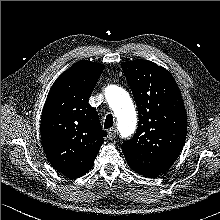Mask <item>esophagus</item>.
<instances>
[{"label": "esophagus", "instance_id": "34e87169", "mask_svg": "<svg viewBox=\"0 0 220 220\" xmlns=\"http://www.w3.org/2000/svg\"><path fill=\"white\" fill-rule=\"evenodd\" d=\"M107 134H108V138L109 139H114L116 137V134H117V130L116 128H111L107 131Z\"/></svg>", "mask_w": 220, "mask_h": 220}]
</instances>
